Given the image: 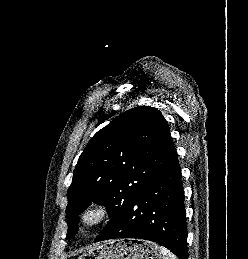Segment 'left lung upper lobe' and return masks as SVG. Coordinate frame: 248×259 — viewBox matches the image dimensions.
I'll return each mask as SVG.
<instances>
[{
  "label": "left lung upper lobe",
  "instance_id": "obj_1",
  "mask_svg": "<svg viewBox=\"0 0 248 259\" xmlns=\"http://www.w3.org/2000/svg\"><path fill=\"white\" fill-rule=\"evenodd\" d=\"M176 156L168 123L154 107L130 109L99 130L68 189L67 238L77 233V216L91 202L106 206L110 222L104 229L112 225Z\"/></svg>",
  "mask_w": 248,
  "mask_h": 259
}]
</instances>
